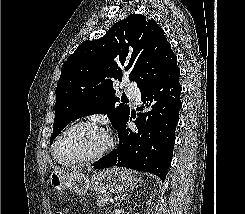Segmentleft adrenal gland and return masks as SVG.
I'll use <instances>...</instances> for the list:
<instances>
[{
  "instance_id": "left-adrenal-gland-1",
  "label": "left adrenal gland",
  "mask_w": 245,
  "mask_h": 214,
  "mask_svg": "<svg viewBox=\"0 0 245 214\" xmlns=\"http://www.w3.org/2000/svg\"><path fill=\"white\" fill-rule=\"evenodd\" d=\"M131 190H133V188H132ZM126 195H127V193H124V194L119 198L118 204L121 203V202L123 201V199H124V197H125Z\"/></svg>"
}]
</instances>
